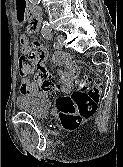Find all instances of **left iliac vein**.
Wrapping results in <instances>:
<instances>
[{"label": "left iliac vein", "instance_id": "left-iliac-vein-1", "mask_svg": "<svg viewBox=\"0 0 123 167\" xmlns=\"http://www.w3.org/2000/svg\"><path fill=\"white\" fill-rule=\"evenodd\" d=\"M64 44V37L62 35H58L56 39V48H61Z\"/></svg>", "mask_w": 123, "mask_h": 167}]
</instances>
